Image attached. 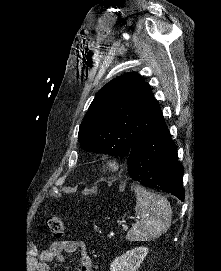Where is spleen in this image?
I'll return each mask as SVG.
<instances>
[{
    "label": "spleen",
    "mask_w": 221,
    "mask_h": 271,
    "mask_svg": "<svg viewBox=\"0 0 221 271\" xmlns=\"http://www.w3.org/2000/svg\"><path fill=\"white\" fill-rule=\"evenodd\" d=\"M137 201L135 225L129 229L128 241H149L166 233L171 225L172 207L167 197L160 193H151L144 187L135 189Z\"/></svg>",
    "instance_id": "3e777b00"
}]
</instances>
